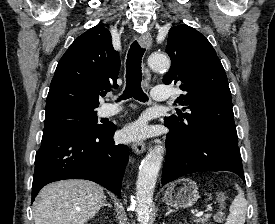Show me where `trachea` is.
Here are the masks:
<instances>
[{"label": "trachea", "instance_id": "1", "mask_svg": "<svg viewBox=\"0 0 275 224\" xmlns=\"http://www.w3.org/2000/svg\"><path fill=\"white\" fill-rule=\"evenodd\" d=\"M144 52L145 49L137 41H134L130 46L126 60V88L119 100L132 97L142 102L148 100L147 95L141 88V60Z\"/></svg>", "mask_w": 275, "mask_h": 224}]
</instances>
